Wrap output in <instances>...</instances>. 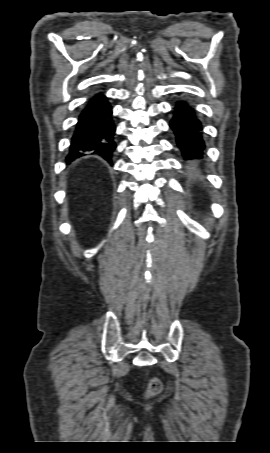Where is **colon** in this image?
Instances as JSON below:
<instances>
[{"label":"colon","instance_id":"colon-1","mask_svg":"<svg viewBox=\"0 0 270 453\" xmlns=\"http://www.w3.org/2000/svg\"><path fill=\"white\" fill-rule=\"evenodd\" d=\"M161 389H162L161 381L157 378H152L148 384L147 394L149 396L156 395L161 391Z\"/></svg>","mask_w":270,"mask_h":453}]
</instances>
